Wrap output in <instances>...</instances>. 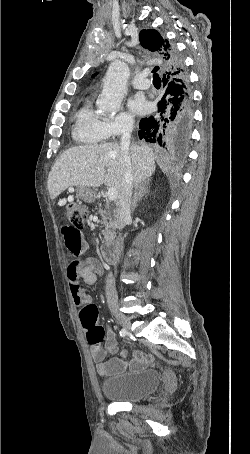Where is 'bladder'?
<instances>
[{
  "instance_id": "1",
  "label": "bladder",
  "mask_w": 250,
  "mask_h": 454,
  "mask_svg": "<svg viewBox=\"0 0 250 454\" xmlns=\"http://www.w3.org/2000/svg\"><path fill=\"white\" fill-rule=\"evenodd\" d=\"M160 383V372L151 368L107 378L102 381L101 390L107 399L115 402L133 403L156 392Z\"/></svg>"
}]
</instances>
